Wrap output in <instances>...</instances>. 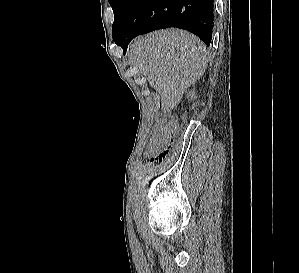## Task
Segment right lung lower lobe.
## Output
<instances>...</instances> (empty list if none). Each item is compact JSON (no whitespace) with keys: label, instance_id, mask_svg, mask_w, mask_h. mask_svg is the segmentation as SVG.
Returning a JSON list of instances; mask_svg holds the SVG:
<instances>
[{"label":"right lung lower lobe","instance_id":"obj_1","mask_svg":"<svg viewBox=\"0 0 299 273\" xmlns=\"http://www.w3.org/2000/svg\"><path fill=\"white\" fill-rule=\"evenodd\" d=\"M214 0H134L114 39L124 54L137 35L177 27L197 35L207 46L212 39Z\"/></svg>","mask_w":299,"mask_h":273}]
</instances>
